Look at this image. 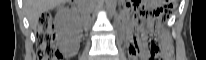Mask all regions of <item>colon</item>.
<instances>
[{"instance_id": "1", "label": "colon", "mask_w": 206, "mask_h": 60, "mask_svg": "<svg viewBox=\"0 0 206 60\" xmlns=\"http://www.w3.org/2000/svg\"><path fill=\"white\" fill-rule=\"evenodd\" d=\"M175 0L163 1V5L153 10L156 15L168 14L174 6ZM147 50L150 60H169L172 54L170 41L166 37L157 39L150 37L147 40ZM37 52L40 60H59L62 58L55 46V38L52 32V19L48 13L39 17L37 30Z\"/></svg>"}]
</instances>
